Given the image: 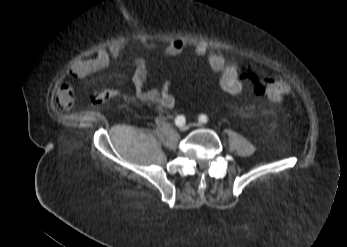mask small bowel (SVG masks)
<instances>
[{
  "instance_id": "1",
  "label": "small bowel",
  "mask_w": 347,
  "mask_h": 247,
  "mask_svg": "<svg viewBox=\"0 0 347 247\" xmlns=\"http://www.w3.org/2000/svg\"><path fill=\"white\" fill-rule=\"evenodd\" d=\"M187 47L185 41L180 38L170 40L164 49V53L169 56L182 53ZM156 48L153 44H145L143 49L153 51ZM194 53L197 56H205L212 71L218 75V83L221 90L229 95H239L243 92L246 85L255 82L247 72H241L240 66L232 60H227L221 52L212 49L207 45L198 44L194 46ZM123 46L115 45L111 48H101L96 53L85 59H80L71 66V75L77 79H84L89 75L98 72L111 63L113 59H120ZM133 67L132 83L136 98L143 103L156 104L160 110L173 109L177 106V99L171 93V82L163 81L159 87L146 89L145 81L147 78V64L140 55L130 58ZM256 91L262 92L255 84ZM55 102L59 110L70 111L74 105V90L68 85L62 86L56 94ZM159 113L156 120H162Z\"/></svg>"
}]
</instances>
